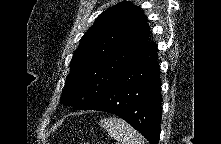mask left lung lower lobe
Returning <instances> with one entry per match:
<instances>
[{
  "mask_svg": "<svg viewBox=\"0 0 221 144\" xmlns=\"http://www.w3.org/2000/svg\"><path fill=\"white\" fill-rule=\"evenodd\" d=\"M157 51L156 43H149L87 109L105 111L123 118L150 144H158L160 139L162 98Z\"/></svg>",
  "mask_w": 221,
  "mask_h": 144,
  "instance_id": "0a47b994",
  "label": "left lung lower lobe"
}]
</instances>
